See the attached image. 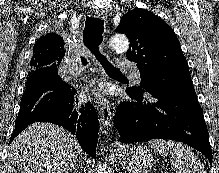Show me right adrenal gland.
Returning a JSON list of instances; mask_svg holds the SVG:
<instances>
[{
    "instance_id": "obj_1",
    "label": "right adrenal gland",
    "mask_w": 219,
    "mask_h": 173,
    "mask_svg": "<svg viewBox=\"0 0 219 173\" xmlns=\"http://www.w3.org/2000/svg\"><path fill=\"white\" fill-rule=\"evenodd\" d=\"M70 171L73 173H78L76 163L72 164L71 167L65 171V173H69Z\"/></svg>"
}]
</instances>
